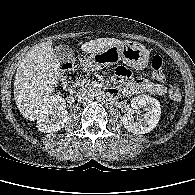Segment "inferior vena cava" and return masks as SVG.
<instances>
[{"label": "inferior vena cava", "mask_w": 195, "mask_h": 195, "mask_svg": "<svg viewBox=\"0 0 195 195\" xmlns=\"http://www.w3.org/2000/svg\"><path fill=\"white\" fill-rule=\"evenodd\" d=\"M79 102L89 101L93 98V93L90 90L79 91L76 95Z\"/></svg>", "instance_id": "inferior-vena-cava-1"}]
</instances>
